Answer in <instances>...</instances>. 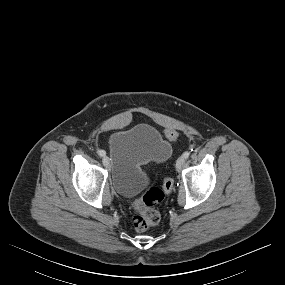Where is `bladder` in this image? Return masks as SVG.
Listing matches in <instances>:
<instances>
[{
  "mask_svg": "<svg viewBox=\"0 0 285 285\" xmlns=\"http://www.w3.org/2000/svg\"><path fill=\"white\" fill-rule=\"evenodd\" d=\"M108 150L112 186L124 197L136 196L147 185L144 165L171 154V146L162 132L145 123L112 133Z\"/></svg>",
  "mask_w": 285,
  "mask_h": 285,
  "instance_id": "1",
  "label": "bladder"
}]
</instances>
